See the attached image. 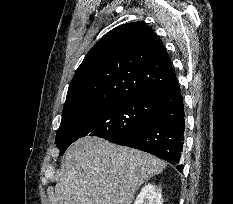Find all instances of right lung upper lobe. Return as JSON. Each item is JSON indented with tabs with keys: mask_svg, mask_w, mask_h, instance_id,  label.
<instances>
[{
	"mask_svg": "<svg viewBox=\"0 0 233 204\" xmlns=\"http://www.w3.org/2000/svg\"><path fill=\"white\" fill-rule=\"evenodd\" d=\"M174 80L170 57L157 35L140 22L120 25L100 39L78 67L59 129L111 102L152 95Z\"/></svg>",
	"mask_w": 233,
	"mask_h": 204,
	"instance_id": "cb5924a9",
	"label": "right lung upper lobe"
}]
</instances>
